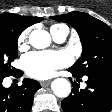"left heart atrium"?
Segmentation results:
<instances>
[{"instance_id": "left-heart-atrium-1", "label": "left heart atrium", "mask_w": 112, "mask_h": 112, "mask_svg": "<svg viewBox=\"0 0 112 112\" xmlns=\"http://www.w3.org/2000/svg\"><path fill=\"white\" fill-rule=\"evenodd\" d=\"M22 67L25 73L36 79H46L71 63L70 55L60 51H33L23 56Z\"/></svg>"}]
</instances>
